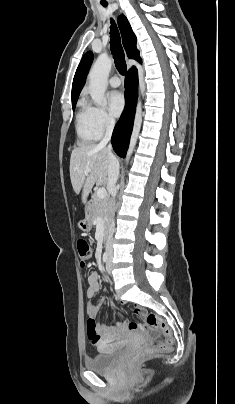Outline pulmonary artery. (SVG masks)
Returning a JSON list of instances; mask_svg holds the SVG:
<instances>
[{"label": "pulmonary artery", "mask_w": 235, "mask_h": 404, "mask_svg": "<svg viewBox=\"0 0 235 404\" xmlns=\"http://www.w3.org/2000/svg\"><path fill=\"white\" fill-rule=\"evenodd\" d=\"M109 84H110L111 87L116 88V87H119V86H120L121 81H120V79H119L117 76H113V77H111V78L109 79Z\"/></svg>", "instance_id": "1"}]
</instances>
